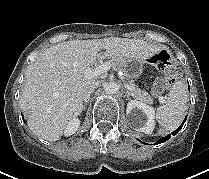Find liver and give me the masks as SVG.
<instances>
[{
    "instance_id": "obj_1",
    "label": "liver",
    "mask_w": 209,
    "mask_h": 179,
    "mask_svg": "<svg viewBox=\"0 0 209 179\" xmlns=\"http://www.w3.org/2000/svg\"><path fill=\"white\" fill-rule=\"evenodd\" d=\"M105 49V58L146 60L159 52L142 40L109 37L59 43L41 52L26 70L20 107L28 111L31 131L50 142L61 138L68 122L83 110V94L99 76L85 78Z\"/></svg>"
}]
</instances>
